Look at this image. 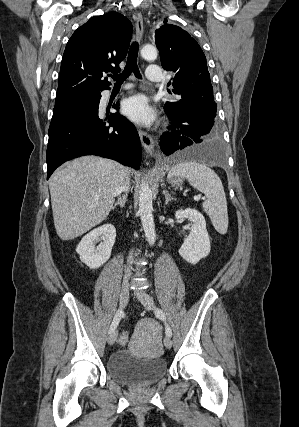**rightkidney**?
Returning <instances> with one entry per match:
<instances>
[{"instance_id":"ca27d5eb","label":"right kidney","mask_w":299,"mask_h":427,"mask_svg":"<svg viewBox=\"0 0 299 427\" xmlns=\"http://www.w3.org/2000/svg\"><path fill=\"white\" fill-rule=\"evenodd\" d=\"M115 238V227L112 224H104L86 234L78 244L76 252L90 269H97L110 258ZM100 240V244L95 247V243Z\"/></svg>"}]
</instances>
